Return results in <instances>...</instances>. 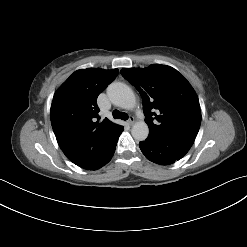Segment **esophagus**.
Segmentation results:
<instances>
[{"instance_id":"obj_1","label":"esophagus","mask_w":247,"mask_h":247,"mask_svg":"<svg viewBox=\"0 0 247 247\" xmlns=\"http://www.w3.org/2000/svg\"><path fill=\"white\" fill-rule=\"evenodd\" d=\"M135 122V118L133 116H130L129 119H128V124L129 125H133Z\"/></svg>"}]
</instances>
